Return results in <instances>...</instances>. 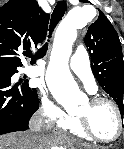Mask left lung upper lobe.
<instances>
[{"label":"left lung upper lobe","mask_w":124,"mask_h":149,"mask_svg":"<svg viewBox=\"0 0 124 149\" xmlns=\"http://www.w3.org/2000/svg\"><path fill=\"white\" fill-rule=\"evenodd\" d=\"M84 41L95 78L117 103L123 116L124 61L121 43L114 27L101 11L98 19L88 28Z\"/></svg>","instance_id":"left-lung-upper-lobe-1"}]
</instances>
